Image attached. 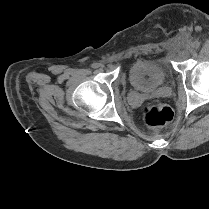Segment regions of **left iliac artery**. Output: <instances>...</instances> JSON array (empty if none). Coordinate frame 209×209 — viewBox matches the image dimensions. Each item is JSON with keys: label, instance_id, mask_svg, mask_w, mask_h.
I'll use <instances>...</instances> for the list:
<instances>
[{"label": "left iliac artery", "instance_id": "obj_1", "mask_svg": "<svg viewBox=\"0 0 209 209\" xmlns=\"http://www.w3.org/2000/svg\"><path fill=\"white\" fill-rule=\"evenodd\" d=\"M199 46H200V42H198V41H195L194 43H193V47L194 48H199Z\"/></svg>", "mask_w": 209, "mask_h": 209}]
</instances>
